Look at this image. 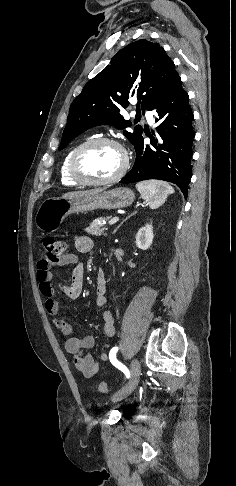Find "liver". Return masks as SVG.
<instances>
[{"mask_svg": "<svg viewBox=\"0 0 236 486\" xmlns=\"http://www.w3.org/2000/svg\"><path fill=\"white\" fill-rule=\"evenodd\" d=\"M101 191H102L101 189H91V190H87V191H73V192H68V193L62 195L61 198H74V197L93 195V194L99 193Z\"/></svg>", "mask_w": 236, "mask_h": 486, "instance_id": "liver-1", "label": "liver"}]
</instances>
